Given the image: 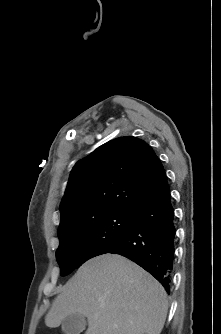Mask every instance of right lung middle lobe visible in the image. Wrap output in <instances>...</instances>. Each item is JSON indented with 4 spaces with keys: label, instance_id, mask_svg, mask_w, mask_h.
<instances>
[{
    "label": "right lung middle lobe",
    "instance_id": "dd1d6c3e",
    "mask_svg": "<svg viewBox=\"0 0 221 334\" xmlns=\"http://www.w3.org/2000/svg\"><path fill=\"white\" fill-rule=\"evenodd\" d=\"M133 218L132 213L110 212L72 226L59 237L56 251L61 275L79 268L88 259L114 248Z\"/></svg>",
    "mask_w": 221,
    "mask_h": 334
}]
</instances>
